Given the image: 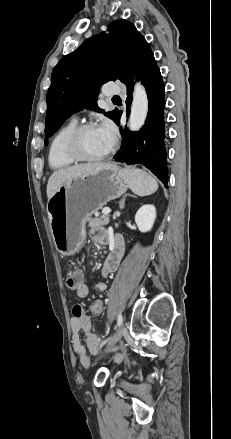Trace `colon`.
I'll use <instances>...</instances> for the list:
<instances>
[{"label":"colon","instance_id":"obj_1","mask_svg":"<svg viewBox=\"0 0 231 439\" xmlns=\"http://www.w3.org/2000/svg\"><path fill=\"white\" fill-rule=\"evenodd\" d=\"M84 275H85V270L84 268H81V265L78 264V262H75V264L72 265V268H69V270H67L66 272V283L67 286L71 289L72 295H77L76 294V284L77 283H87L85 282L84 279Z\"/></svg>","mask_w":231,"mask_h":439}]
</instances>
